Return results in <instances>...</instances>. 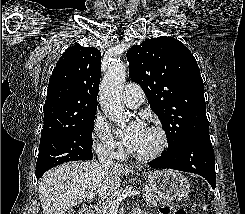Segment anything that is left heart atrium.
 I'll return each instance as SVG.
<instances>
[{"instance_id": "obj_1", "label": "left heart atrium", "mask_w": 245, "mask_h": 214, "mask_svg": "<svg viewBox=\"0 0 245 214\" xmlns=\"http://www.w3.org/2000/svg\"><path fill=\"white\" fill-rule=\"evenodd\" d=\"M144 128L145 126L141 122L135 121L121 132L123 143L128 149L134 145Z\"/></svg>"}]
</instances>
